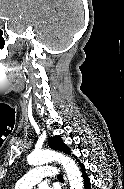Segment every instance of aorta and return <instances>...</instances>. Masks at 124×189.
Wrapping results in <instances>:
<instances>
[{
	"mask_svg": "<svg viewBox=\"0 0 124 189\" xmlns=\"http://www.w3.org/2000/svg\"><path fill=\"white\" fill-rule=\"evenodd\" d=\"M52 161L62 164L69 179L70 189H83L81 172L73 159L51 150L34 151L27 157L28 164L33 166Z\"/></svg>",
	"mask_w": 124,
	"mask_h": 189,
	"instance_id": "obj_1",
	"label": "aorta"
}]
</instances>
